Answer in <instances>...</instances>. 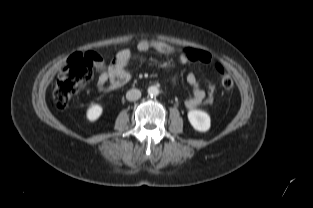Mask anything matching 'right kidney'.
<instances>
[{
  "label": "right kidney",
  "mask_w": 313,
  "mask_h": 208,
  "mask_svg": "<svg viewBox=\"0 0 313 208\" xmlns=\"http://www.w3.org/2000/svg\"><path fill=\"white\" fill-rule=\"evenodd\" d=\"M103 108L99 104L91 105L86 113V117L90 122L96 121L102 114Z\"/></svg>",
  "instance_id": "right-kidney-1"
}]
</instances>
